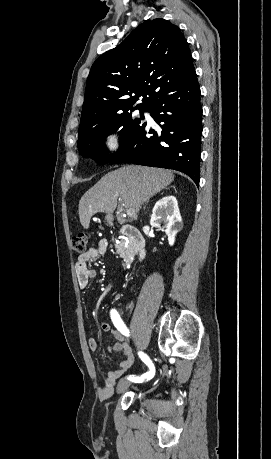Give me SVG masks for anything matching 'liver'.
I'll list each match as a JSON object with an SVG mask.
<instances>
[{
    "label": "liver",
    "instance_id": "6515ba94",
    "mask_svg": "<svg viewBox=\"0 0 271 459\" xmlns=\"http://www.w3.org/2000/svg\"><path fill=\"white\" fill-rule=\"evenodd\" d=\"M169 170L144 168V166H124L105 174L93 188H90L79 202L81 226L88 229L90 220L96 212L113 214L120 198L124 208L139 212L141 204L158 194L173 182Z\"/></svg>",
    "mask_w": 271,
    "mask_h": 459
}]
</instances>
